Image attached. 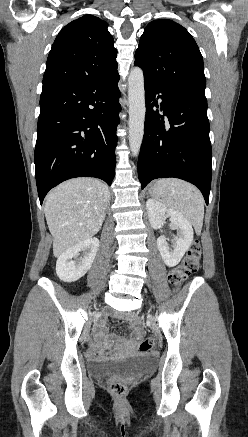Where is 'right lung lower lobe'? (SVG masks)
Here are the masks:
<instances>
[{
	"label": "right lung lower lobe",
	"mask_w": 248,
	"mask_h": 437,
	"mask_svg": "<svg viewBox=\"0 0 248 437\" xmlns=\"http://www.w3.org/2000/svg\"><path fill=\"white\" fill-rule=\"evenodd\" d=\"M117 71L77 84L43 85L35 147L40 203L48 191L74 177L111 185L115 176L119 124Z\"/></svg>",
	"instance_id": "right-lung-lower-lobe-1"
}]
</instances>
